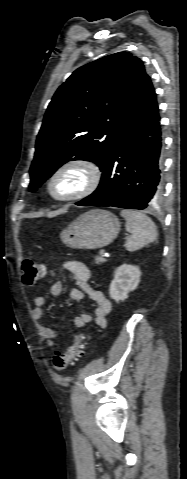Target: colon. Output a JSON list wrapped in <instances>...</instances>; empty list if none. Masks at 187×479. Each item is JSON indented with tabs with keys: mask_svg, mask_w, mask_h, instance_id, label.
I'll use <instances>...</instances> for the list:
<instances>
[{
	"mask_svg": "<svg viewBox=\"0 0 187 479\" xmlns=\"http://www.w3.org/2000/svg\"><path fill=\"white\" fill-rule=\"evenodd\" d=\"M22 270L24 283L29 286L39 283L46 274L45 265L33 259H25L22 263ZM88 341V335L84 333L75 334L68 347L53 356L52 367L54 370L63 372L74 364L82 356L83 346Z\"/></svg>",
	"mask_w": 187,
	"mask_h": 479,
	"instance_id": "obj_1",
	"label": "colon"
}]
</instances>
